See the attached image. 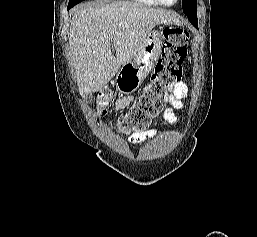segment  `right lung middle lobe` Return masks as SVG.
I'll use <instances>...</instances> for the list:
<instances>
[{
    "mask_svg": "<svg viewBox=\"0 0 257 237\" xmlns=\"http://www.w3.org/2000/svg\"><path fill=\"white\" fill-rule=\"evenodd\" d=\"M82 1H84V0H69L68 7L72 8L73 6H75L76 4H78Z\"/></svg>",
    "mask_w": 257,
    "mask_h": 237,
    "instance_id": "1",
    "label": "right lung middle lobe"
}]
</instances>
